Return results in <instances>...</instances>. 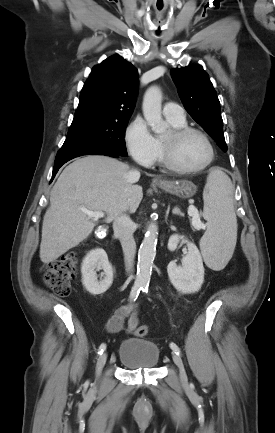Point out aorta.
I'll list each match as a JSON object with an SVG mask.
<instances>
[{
  "label": "aorta",
  "instance_id": "762f6f07",
  "mask_svg": "<svg viewBox=\"0 0 275 433\" xmlns=\"http://www.w3.org/2000/svg\"><path fill=\"white\" fill-rule=\"evenodd\" d=\"M162 93L156 86L147 89L144 94L142 110L147 124L156 134H162L166 125L161 114ZM158 230L156 223L151 222L138 251L136 284L148 287L152 265L156 256Z\"/></svg>",
  "mask_w": 275,
  "mask_h": 433
}]
</instances>
